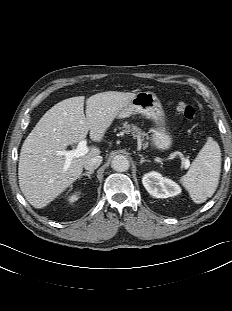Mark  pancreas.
<instances>
[{
    "label": "pancreas",
    "instance_id": "pancreas-1",
    "mask_svg": "<svg viewBox=\"0 0 232 311\" xmlns=\"http://www.w3.org/2000/svg\"><path fill=\"white\" fill-rule=\"evenodd\" d=\"M120 129H122V132L125 134H131L134 138L137 139L139 144H142V142L146 139L148 140L149 137L147 135V133L143 132L139 127H137L134 124H129L128 122H124L122 124V127H120ZM144 147L148 146V142H145L143 144Z\"/></svg>",
    "mask_w": 232,
    "mask_h": 311
}]
</instances>
